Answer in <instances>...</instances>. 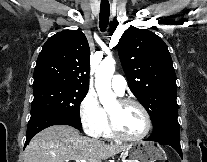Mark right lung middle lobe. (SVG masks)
I'll return each instance as SVG.
<instances>
[{
  "instance_id": "obj_1",
  "label": "right lung middle lobe",
  "mask_w": 207,
  "mask_h": 162,
  "mask_svg": "<svg viewBox=\"0 0 207 162\" xmlns=\"http://www.w3.org/2000/svg\"><path fill=\"white\" fill-rule=\"evenodd\" d=\"M87 91L58 85L33 88L31 115L38 112H57L80 122V103Z\"/></svg>"
}]
</instances>
